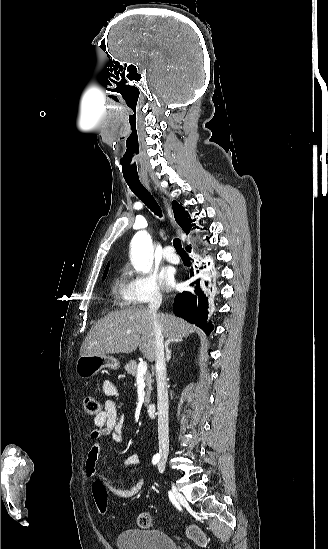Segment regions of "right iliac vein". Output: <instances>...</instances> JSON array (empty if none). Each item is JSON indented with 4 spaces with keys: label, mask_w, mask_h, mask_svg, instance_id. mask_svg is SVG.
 Segmentation results:
<instances>
[{
    "label": "right iliac vein",
    "mask_w": 328,
    "mask_h": 549,
    "mask_svg": "<svg viewBox=\"0 0 328 549\" xmlns=\"http://www.w3.org/2000/svg\"><path fill=\"white\" fill-rule=\"evenodd\" d=\"M163 464H164V462H163ZM164 465H165V464H164ZM171 488H172V491H173L174 495H175L176 497H179L180 494L178 493V491L176 490V488H175V486H174L173 484L171 485Z\"/></svg>",
    "instance_id": "right-iliac-vein-1"
}]
</instances>
